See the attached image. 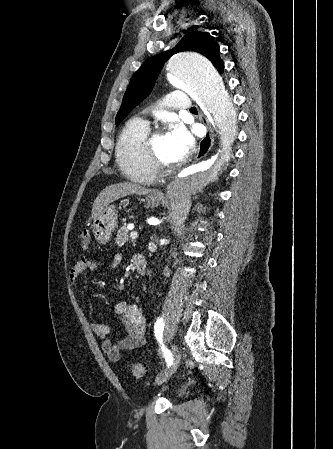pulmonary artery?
<instances>
[{
  "label": "pulmonary artery",
  "instance_id": "pulmonary-artery-1",
  "mask_svg": "<svg viewBox=\"0 0 333 449\" xmlns=\"http://www.w3.org/2000/svg\"><path fill=\"white\" fill-rule=\"evenodd\" d=\"M167 104L174 109L190 110L192 107L188 94L183 90L171 92L166 99Z\"/></svg>",
  "mask_w": 333,
  "mask_h": 449
}]
</instances>
